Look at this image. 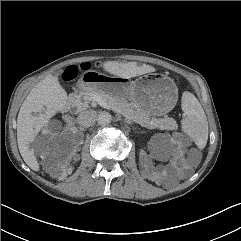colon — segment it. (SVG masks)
<instances>
[{
    "label": "colon",
    "mask_w": 241,
    "mask_h": 241,
    "mask_svg": "<svg viewBox=\"0 0 241 241\" xmlns=\"http://www.w3.org/2000/svg\"><path fill=\"white\" fill-rule=\"evenodd\" d=\"M82 70L83 71H89L92 68V65L89 63H85L82 65ZM77 71L76 68L68 67L64 70L62 77L64 80H72L76 77Z\"/></svg>",
    "instance_id": "colon-1"
}]
</instances>
